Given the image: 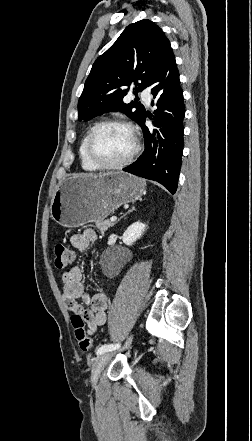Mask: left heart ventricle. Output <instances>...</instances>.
<instances>
[{
    "label": "left heart ventricle",
    "instance_id": "1",
    "mask_svg": "<svg viewBox=\"0 0 252 441\" xmlns=\"http://www.w3.org/2000/svg\"><path fill=\"white\" fill-rule=\"evenodd\" d=\"M133 148L130 131L122 126H105L96 134L92 150L94 156L104 163L123 160Z\"/></svg>",
    "mask_w": 252,
    "mask_h": 441
}]
</instances>
